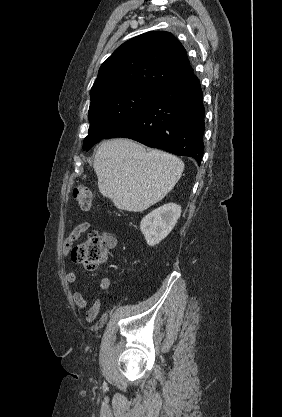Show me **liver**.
Here are the masks:
<instances>
[{"label": "liver", "instance_id": "1", "mask_svg": "<svg viewBox=\"0 0 282 417\" xmlns=\"http://www.w3.org/2000/svg\"><path fill=\"white\" fill-rule=\"evenodd\" d=\"M93 168L101 194L111 198L117 209L140 213L172 190L184 162L163 150L147 152L130 138H112L99 146Z\"/></svg>", "mask_w": 282, "mask_h": 417}]
</instances>
